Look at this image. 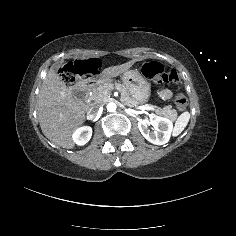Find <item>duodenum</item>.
Listing matches in <instances>:
<instances>
[{
	"label": "duodenum",
	"mask_w": 236,
	"mask_h": 236,
	"mask_svg": "<svg viewBox=\"0 0 236 236\" xmlns=\"http://www.w3.org/2000/svg\"><path fill=\"white\" fill-rule=\"evenodd\" d=\"M98 81L97 77L93 74L83 76L73 88V95L79 101L83 110L88 107L87 104V92Z\"/></svg>",
	"instance_id": "410a0bca"
}]
</instances>
